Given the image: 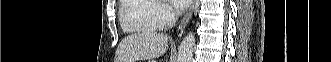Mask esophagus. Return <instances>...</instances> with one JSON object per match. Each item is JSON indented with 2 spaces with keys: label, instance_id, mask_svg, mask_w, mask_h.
<instances>
[{
  "label": "esophagus",
  "instance_id": "obj_1",
  "mask_svg": "<svg viewBox=\"0 0 331 62\" xmlns=\"http://www.w3.org/2000/svg\"><path fill=\"white\" fill-rule=\"evenodd\" d=\"M195 2H196V0L192 1V4H191L189 10L187 11L185 16L183 17L182 21L180 22V25H179L180 29L184 28L188 24V22L190 21V19L192 17V14H193Z\"/></svg>",
  "mask_w": 331,
  "mask_h": 62
}]
</instances>
